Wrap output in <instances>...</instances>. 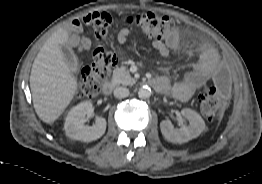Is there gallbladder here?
<instances>
[{"mask_svg":"<svg viewBox=\"0 0 262 184\" xmlns=\"http://www.w3.org/2000/svg\"><path fill=\"white\" fill-rule=\"evenodd\" d=\"M62 52H63L64 59H65L66 64L68 65V67L72 71H77V69H78V58L75 55V53L73 52V50L68 46H64V47H62Z\"/></svg>","mask_w":262,"mask_h":184,"instance_id":"obj_1","label":"gallbladder"}]
</instances>
